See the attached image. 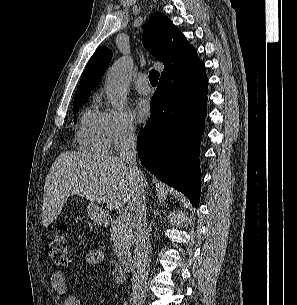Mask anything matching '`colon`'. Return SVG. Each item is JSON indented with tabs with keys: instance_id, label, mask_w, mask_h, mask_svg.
Segmentation results:
<instances>
[{
	"instance_id": "obj_1",
	"label": "colon",
	"mask_w": 297,
	"mask_h": 305,
	"mask_svg": "<svg viewBox=\"0 0 297 305\" xmlns=\"http://www.w3.org/2000/svg\"><path fill=\"white\" fill-rule=\"evenodd\" d=\"M47 251L54 264L65 266L70 263L71 256L69 253L68 229L65 224L58 226L47 246Z\"/></svg>"
}]
</instances>
